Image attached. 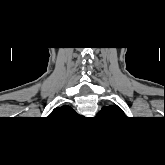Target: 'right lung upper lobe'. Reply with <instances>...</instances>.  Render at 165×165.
<instances>
[{
    "label": "right lung upper lobe",
    "instance_id": "obj_1",
    "mask_svg": "<svg viewBox=\"0 0 165 165\" xmlns=\"http://www.w3.org/2000/svg\"><path fill=\"white\" fill-rule=\"evenodd\" d=\"M73 114H75V111L70 106L63 105L61 107L55 108L48 117L49 118H66V116L68 117Z\"/></svg>",
    "mask_w": 165,
    "mask_h": 165
}]
</instances>
